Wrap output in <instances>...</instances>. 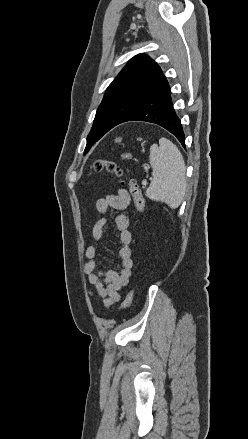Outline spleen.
Instances as JSON below:
<instances>
[{
  "label": "spleen",
  "mask_w": 248,
  "mask_h": 439,
  "mask_svg": "<svg viewBox=\"0 0 248 439\" xmlns=\"http://www.w3.org/2000/svg\"><path fill=\"white\" fill-rule=\"evenodd\" d=\"M150 165L152 181L145 195L154 201L177 208L184 200L186 193V167L183 156L177 146L166 138L159 139L150 147Z\"/></svg>",
  "instance_id": "obj_1"
}]
</instances>
